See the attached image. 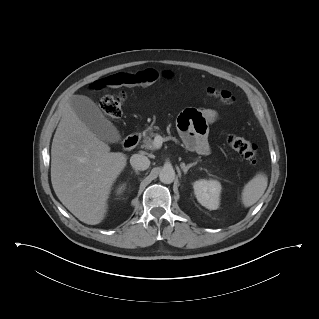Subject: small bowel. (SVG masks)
I'll use <instances>...</instances> for the list:
<instances>
[{"instance_id":"1","label":"small bowel","mask_w":319,"mask_h":319,"mask_svg":"<svg viewBox=\"0 0 319 319\" xmlns=\"http://www.w3.org/2000/svg\"><path fill=\"white\" fill-rule=\"evenodd\" d=\"M162 77L170 79L172 74L166 72ZM120 78L125 79V81ZM158 78L159 75L154 69H145L134 75H113L105 81L94 82L92 87L95 90H100L104 87H114L121 84L149 87L153 85ZM217 119L218 113L213 109H185L178 119V129L185 146L199 155H208L210 153L208 126L216 122Z\"/></svg>"}]
</instances>
